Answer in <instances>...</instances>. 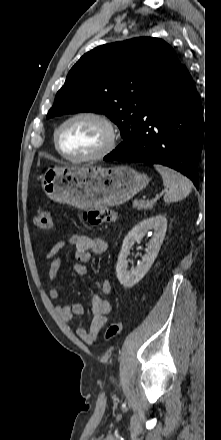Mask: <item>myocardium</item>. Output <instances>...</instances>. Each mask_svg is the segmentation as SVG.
Instances as JSON below:
<instances>
[{"label": "myocardium", "instance_id": "myocardium-1", "mask_svg": "<svg viewBox=\"0 0 221 440\" xmlns=\"http://www.w3.org/2000/svg\"><path fill=\"white\" fill-rule=\"evenodd\" d=\"M77 119H92L95 121H98L101 123L107 132V139L104 144V146L96 153L84 157H73L70 155H67L60 147L59 137L62 129L69 124L70 122L77 120ZM118 141V131L113 123V121L105 114L97 111H81L78 113H75L65 119L62 123L59 124V126L56 128L54 133V143L55 148L57 152L66 160L73 162V163H84V162H91L100 160L107 155H109L116 147Z\"/></svg>", "mask_w": 221, "mask_h": 440}]
</instances>
